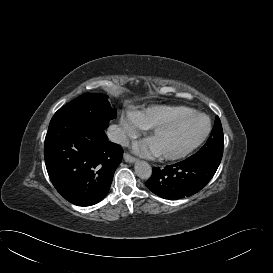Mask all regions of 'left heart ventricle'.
Listing matches in <instances>:
<instances>
[{"label": "left heart ventricle", "instance_id": "1", "mask_svg": "<svg viewBox=\"0 0 273 273\" xmlns=\"http://www.w3.org/2000/svg\"><path fill=\"white\" fill-rule=\"evenodd\" d=\"M206 120L192 117L179 125L160 131L151 139V145L160 152H180L192 145L204 132Z\"/></svg>", "mask_w": 273, "mask_h": 273}]
</instances>
